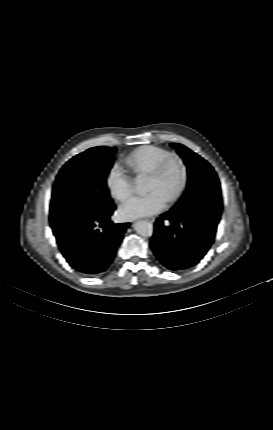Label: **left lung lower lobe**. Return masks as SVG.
<instances>
[{
  "label": "left lung lower lobe",
  "instance_id": "obj_1",
  "mask_svg": "<svg viewBox=\"0 0 273 430\" xmlns=\"http://www.w3.org/2000/svg\"><path fill=\"white\" fill-rule=\"evenodd\" d=\"M221 210V195L203 192L162 214L150 242L156 257L173 271L196 265L214 240Z\"/></svg>",
  "mask_w": 273,
  "mask_h": 430
}]
</instances>
